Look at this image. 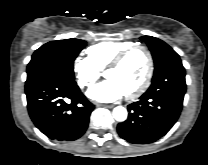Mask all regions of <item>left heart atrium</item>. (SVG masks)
Instances as JSON below:
<instances>
[{"label":"left heart atrium","mask_w":208,"mask_h":165,"mask_svg":"<svg viewBox=\"0 0 208 165\" xmlns=\"http://www.w3.org/2000/svg\"><path fill=\"white\" fill-rule=\"evenodd\" d=\"M124 91L119 84L113 79H107L95 86L89 91L88 95L93 100L101 102H110L121 98L124 95Z\"/></svg>","instance_id":"left-heart-atrium-1"}]
</instances>
